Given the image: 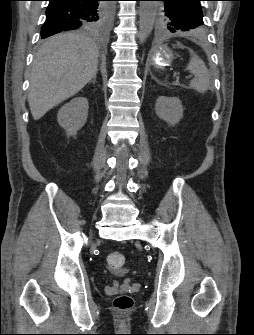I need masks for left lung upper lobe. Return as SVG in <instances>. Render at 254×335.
Here are the masks:
<instances>
[{"instance_id": "left-lung-upper-lobe-1", "label": "left lung upper lobe", "mask_w": 254, "mask_h": 335, "mask_svg": "<svg viewBox=\"0 0 254 335\" xmlns=\"http://www.w3.org/2000/svg\"><path fill=\"white\" fill-rule=\"evenodd\" d=\"M165 2L160 11L162 26L170 32L202 30L204 26L202 0H160Z\"/></svg>"}]
</instances>
